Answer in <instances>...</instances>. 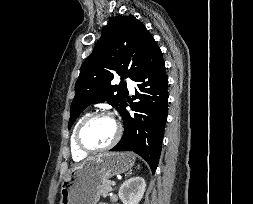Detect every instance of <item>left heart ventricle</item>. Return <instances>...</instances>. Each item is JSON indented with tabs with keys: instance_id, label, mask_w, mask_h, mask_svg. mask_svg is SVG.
<instances>
[{
	"instance_id": "left-heart-ventricle-1",
	"label": "left heart ventricle",
	"mask_w": 253,
	"mask_h": 204,
	"mask_svg": "<svg viewBox=\"0 0 253 204\" xmlns=\"http://www.w3.org/2000/svg\"><path fill=\"white\" fill-rule=\"evenodd\" d=\"M116 134V124L111 118L98 117L91 120L82 131V141L90 148L109 144Z\"/></svg>"
}]
</instances>
